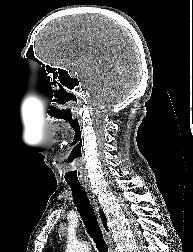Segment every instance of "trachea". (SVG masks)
I'll list each match as a JSON object with an SVG mask.
<instances>
[{"instance_id":"trachea-1","label":"trachea","mask_w":193,"mask_h":252,"mask_svg":"<svg viewBox=\"0 0 193 252\" xmlns=\"http://www.w3.org/2000/svg\"><path fill=\"white\" fill-rule=\"evenodd\" d=\"M68 185L71 188L75 206L83 219L87 233L93 239L99 252H108L94 209L84 189L81 184L68 183Z\"/></svg>"}]
</instances>
